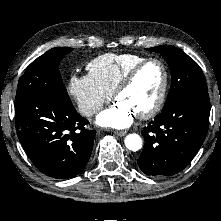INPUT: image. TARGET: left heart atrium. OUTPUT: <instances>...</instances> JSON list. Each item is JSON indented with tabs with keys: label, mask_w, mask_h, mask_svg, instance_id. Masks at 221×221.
Here are the masks:
<instances>
[{
	"label": "left heart atrium",
	"mask_w": 221,
	"mask_h": 221,
	"mask_svg": "<svg viewBox=\"0 0 221 221\" xmlns=\"http://www.w3.org/2000/svg\"><path fill=\"white\" fill-rule=\"evenodd\" d=\"M136 114L133 110L121 101L101 112L97 117V124L112 128H126L130 126Z\"/></svg>",
	"instance_id": "1"
}]
</instances>
